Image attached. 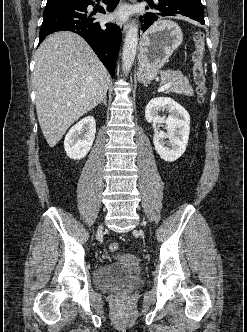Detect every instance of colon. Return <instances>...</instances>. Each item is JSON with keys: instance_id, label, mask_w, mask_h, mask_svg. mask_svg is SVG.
Listing matches in <instances>:
<instances>
[{"instance_id": "5ec220e1", "label": "colon", "mask_w": 247, "mask_h": 332, "mask_svg": "<svg viewBox=\"0 0 247 332\" xmlns=\"http://www.w3.org/2000/svg\"><path fill=\"white\" fill-rule=\"evenodd\" d=\"M195 50L192 55L193 61V79L196 85L198 100L203 101L207 93L205 69L203 66L204 52H205V37L202 32H196L194 35ZM119 249V244L112 242L109 244V250L116 252Z\"/></svg>"}]
</instances>
